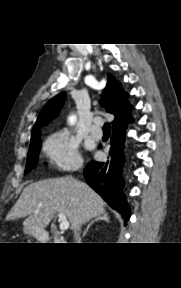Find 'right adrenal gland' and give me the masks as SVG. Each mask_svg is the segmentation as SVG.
Masks as SVG:
<instances>
[{
	"label": "right adrenal gland",
	"mask_w": 181,
	"mask_h": 288,
	"mask_svg": "<svg viewBox=\"0 0 181 288\" xmlns=\"http://www.w3.org/2000/svg\"><path fill=\"white\" fill-rule=\"evenodd\" d=\"M97 221L109 222L108 214H107V213H104L101 217H98V218L92 220V221L88 224L86 230L84 231L83 237L87 234L89 228H90L95 222H97Z\"/></svg>",
	"instance_id": "right-adrenal-gland-1"
}]
</instances>
